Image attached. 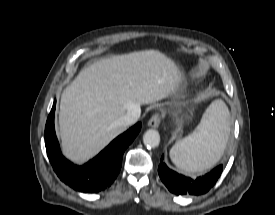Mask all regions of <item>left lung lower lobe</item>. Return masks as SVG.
I'll return each instance as SVG.
<instances>
[{
	"instance_id": "1",
	"label": "left lung lower lobe",
	"mask_w": 275,
	"mask_h": 215,
	"mask_svg": "<svg viewBox=\"0 0 275 215\" xmlns=\"http://www.w3.org/2000/svg\"><path fill=\"white\" fill-rule=\"evenodd\" d=\"M162 161L163 157L158 167V174L168 190L176 195L205 194L216 183L223 170V166L219 165L204 176L193 179L169 169Z\"/></svg>"
}]
</instances>
